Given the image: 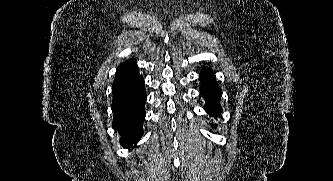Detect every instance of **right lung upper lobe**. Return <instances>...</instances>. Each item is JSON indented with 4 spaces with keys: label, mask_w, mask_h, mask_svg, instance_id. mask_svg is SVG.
<instances>
[{
    "label": "right lung upper lobe",
    "mask_w": 333,
    "mask_h": 181,
    "mask_svg": "<svg viewBox=\"0 0 333 181\" xmlns=\"http://www.w3.org/2000/svg\"><path fill=\"white\" fill-rule=\"evenodd\" d=\"M138 74V66L135 62L126 61L122 63L116 71L113 87L135 78Z\"/></svg>",
    "instance_id": "1"
}]
</instances>
